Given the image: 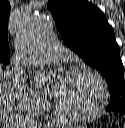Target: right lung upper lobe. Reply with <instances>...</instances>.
<instances>
[{"instance_id":"right-lung-upper-lobe-1","label":"right lung upper lobe","mask_w":125,"mask_h":128,"mask_svg":"<svg viewBox=\"0 0 125 128\" xmlns=\"http://www.w3.org/2000/svg\"><path fill=\"white\" fill-rule=\"evenodd\" d=\"M10 13V3L7 0L0 1V58H9L8 18Z\"/></svg>"}]
</instances>
